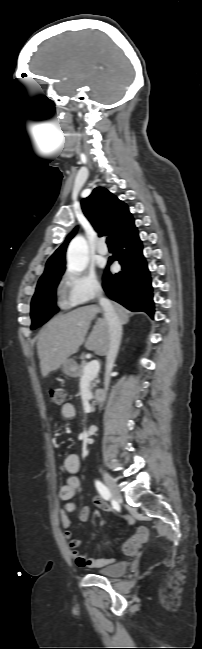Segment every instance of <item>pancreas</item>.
<instances>
[{
  "mask_svg": "<svg viewBox=\"0 0 202 649\" xmlns=\"http://www.w3.org/2000/svg\"><path fill=\"white\" fill-rule=\"evenodd\" d=\"M86 365H87V363H86L85 361H82L81 364L77 367V373H76V376H77V377L82 378V376H83V372H84V368H85ZM99 382H100L99 379H95L93 382H91L90 387H91V388L96 387V385H97Z\"/></svg>",
  "mask_w": 202,
  "mask_h": 649,
  "instance_id": "obj_1",
  "label": "pancreas"
}]
</instances>
